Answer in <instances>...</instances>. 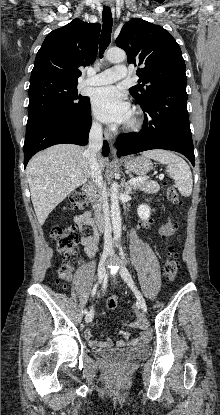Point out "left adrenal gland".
I'll list each match as a JSON object with an SVG mask.
<instances>
[{
    "mask_svg": "<svg viewBox=\"0 0 220 415\" xmlns=\"http://www.w3.org/2000/svg\"><path fill=\"white\" fill-rule=\"evenodd\" d=\"M125 191H126L127 194L132 193V187L129 186L128 184H126Z\"/></svg>",
    "mask_w": 220,
    "mask_h": 415,
    "instance_id": "1",
    "label": "left adrenal gland"
}]
</instances>
